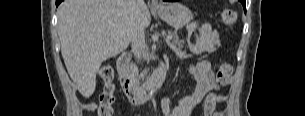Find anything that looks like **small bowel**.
Instances as JSON below:
<instances>
[{
	"label": "small bowel",
	"mask_w": 305,
	"mask_h": 116,
	"mask_svg": "<svg viewBox=\"0 0 305 116\" xmlns=\"http://www.w3.org/2000/svg\"><path fill=\"white\" fill-rule=\"evenodd\" d=\"M190 73L196 81L193 94L180 98L175 107L171 106L168 98H164L161 101L164 116H193L201 103L204 116H222L221 112L216 111V105L224 102L226 96L216 94L218 85L211 64L208 61H201L190 69Z\"/></svg>",
	"instance_id": "small-bowel-1"
}]
</instances>
